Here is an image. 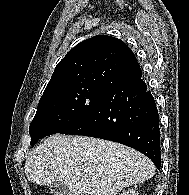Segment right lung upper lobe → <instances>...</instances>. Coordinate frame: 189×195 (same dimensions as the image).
Segmentation results:
<instances>
[{
    "mask_svg": "<svg viewBox=\"0 0 189 195\" xmlns=\"http://www.w3.org/2000/svg\"><path fill=\"white\" fill-rule=\"evenodd\" d=\"M141 76L134 53L123 41L98 35L66 54L57 64L43 95L72 88L113 91Z\"/></svg>",
    "mask_w": 189,
    "mask_h": 195,
    "instance_id": "right-lung-upper-lobe-1",
    "label": "right lung upper lobe"
}]
</instances>
